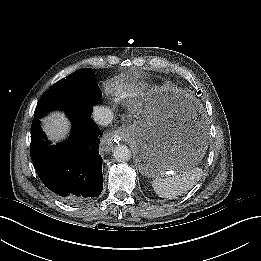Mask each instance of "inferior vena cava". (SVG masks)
Returning a JSON list of instances; mask_svg holds the SVG:
<instances>
[{"mask_svg": "<svg viewBox=\"0 0 261 261\" xmlns=\"http://www.w3.org/2000/svg\"><path fill=\"white\" fill-rule=\"evenodd\" d=\"M93 120L100 126H108L113 121V113L107 107H96L93 111Z\"/></svg>", "mask_w": 261, "mask_h": 261, "instance_id": "1", "label": "inferior vena cava"}]
</instances>
